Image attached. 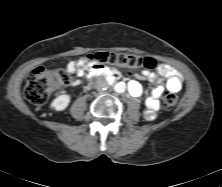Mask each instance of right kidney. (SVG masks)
Listing matches in <instances>:
<instances>
[{"mask_svg": "<svg viewBox=\"0 0 222 187\" xmlns=\"http://www.w3.org/2000/svg\"><path fill=\"white\" fill-rule=\"evenodd\" d=\"M70 99H71L70 95L67 94L59 95L52 101L50 107L56 111H62L69 105Z\"/></svg>", "mask_w": 222, "mask_h": 187, "instance_id": "right-kidney-1", "label": "right kidney"}]
</instances>
